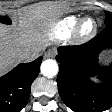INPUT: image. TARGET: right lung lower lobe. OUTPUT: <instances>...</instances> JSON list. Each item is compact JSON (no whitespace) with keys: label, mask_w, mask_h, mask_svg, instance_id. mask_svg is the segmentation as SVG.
Masks as SVG:
<instances>
[{"label":"right lung lower lobe","mask_w":112,"mask_h":112,"mask_svg":"<svg viewBox=\"0 0 112 112\" xmlns=\"http://www.w3.org/2000/svg\"><path fill=\"white\" fill-rule=\"evenodd\" d=\"M42 57L19 64L0 77V112H20L28 102L31 84L39 74Z\"/></svg>","instance_id":"right-lung-lower-lobe-1"}]
</instances>
